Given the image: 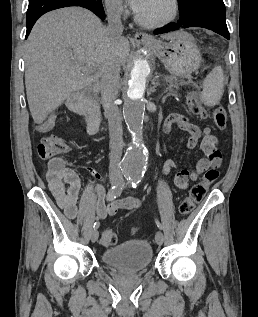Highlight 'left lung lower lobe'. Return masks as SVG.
I'll use <instances>...</instances> for the list:
<instances>
[{
  "label": "left lung lower lobe",
  "mask_w": 258,
  "mask_h": 317,
  "mask_svg": "<svg viewBox=\"0 0 258 317\" xmlns=\"http://www.w3.org/2000/svg\"><path fill=\"white\" fill-rule=\"evenodd\" d=\"M180 27H202L210 29L227 39H230L225 21V5L223 0H202L194 7L186 18H180L178 23H171L157 29L156 34H162L179 29Z\"/></svg>",
  "instance_id": "0a47b994"
}]
</instances>
